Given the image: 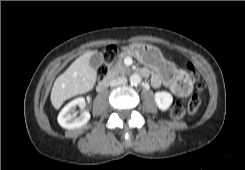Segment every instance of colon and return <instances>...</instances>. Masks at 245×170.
<instances>
[{
    "label": "colon",
    "instance_id": "1",
    "mask_svg": "<svg viewBox=\"0 0 245 170\" xmlns=\"http://www.w3.org/2000/svg\"><path fill=\"white\" fill-rule=\"evenodd\" d=\"M117 55V49L115 47H108L104 52V60L101 66L97 70L98 79H102L106 76L108 69L112 62L115 60ZM188 68L193 76V79L196 83L195 93L191 96L187 108H185L181 103H177L172 111L171 115L176 120H182L185 118L186 114H194L198 110L201 104V96L204 91V85L201 82L199 75L194 70L192 65H188ZM175 82L173 83V87Z\"/></svg>",
    "mask_w": 245,
    "mask_h": 170
}]
</instances>
